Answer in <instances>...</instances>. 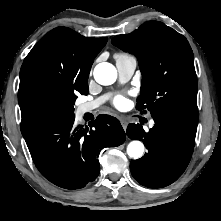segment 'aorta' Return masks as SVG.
<instances>
[{
	"label": "aorta",
	"mask_w": 221,
	"mask_h": 221,
	"mask_svg": "<svg viewBox=\"0 0 221 221\" xmlns=\"http://www.w3.org/2000/svg\"><path fill=\"white\" fill-rule=\"evenodd\" d=\"M94 78L101 85H111L117 79L116 68L107 62L99 63L94 68ZM127 153L131 158L138 159L143 156L144 145L138 140L129 143Z\"/></svg>",
	"instance_id": "1"
}]
</instances>
